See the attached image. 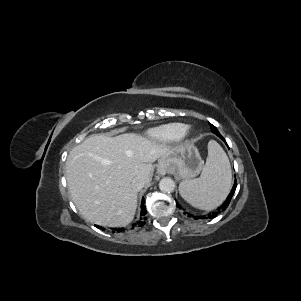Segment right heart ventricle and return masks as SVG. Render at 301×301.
Instances as JSON below:
<instances>
[{"instance_id": "1", "label": "right heart ventricle", "mask_w": 301, "mask_h": 301, "mask_svg": "<svg viewBox=\"0 0 301 301\" xmlns=\"http://www.w3.org/2000/svg\"><path fill=\"white\" fill-rule=\"evenodd\" d=\"M187 129L184 123H168L148 130L147 137L159 143H173L179 141Z\"/></svg>"}]
</instances>
